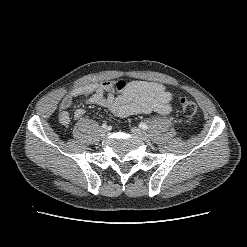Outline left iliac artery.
Segmentation results:
<instances>
[{
	"mask_svg": "<svg viewBox=\"0 0 247 247\" xmlns=\"http://www.w3.org/2000/svg\"><path fill=\"white\" fill-rule=\"evenodd\" d=\"M139 127H140L141 129H143V130H147V129H148V125L145 124V123H143V122H141V123L139 124Z\"/></svg>",
	"mask_w": 247,
	"mask_h": 247,
	"instance_id": "obj_1",
	"label": "left iliac artery"
}]
</instances>
